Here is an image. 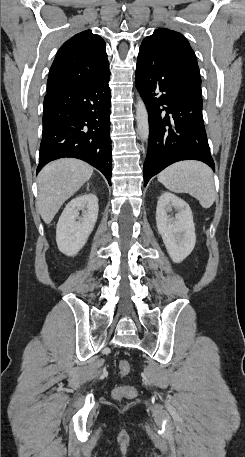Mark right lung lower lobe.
<instances>
[{
  "mask_svg": "<svg viewBox=\"0 0 245 457\" xmlns=\"http://www.w3.org/2000/svg\"><path fill=\"white\" fill-rule=\"evenodd\" d=\"M109 80L110 72L47 92L37 173L52 160L73 157L96 167L111 184Z\"/></svg>",
  "mask_w": 245,
  "mask_h": 457,
  "instance_id": "98d812e1",
  "label": "right lung lower lobe"
}]
</instances>
